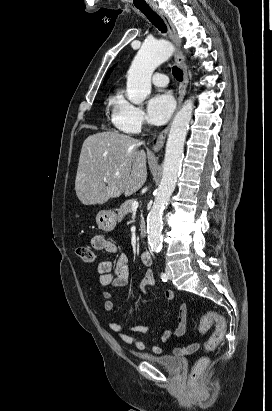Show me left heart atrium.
I'll list each match as a JSON object with an SVG mask.
<instances>
[{
  "label": "left heart atrium",
  "mask_w": 272,
  "mask_h": 411,
  "mask_svg": "<svg viewBox=\"0 0 272 411\" xmlns=\"http://www.w3.org/2000/svg\"><path fill=\"white\" fill-rule=\"evenodd\" d=\"M147 108L150 121L161 125L170 118L174 109V100L168 93L156 94L149 99Z\"/></svg>",
  "instance_id": "left-heart-atrium-1"
}]
</instances>
